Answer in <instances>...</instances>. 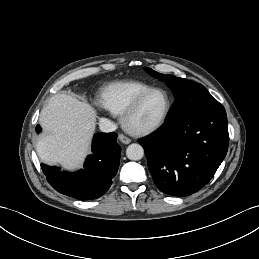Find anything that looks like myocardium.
<instances>
[{
	"label": "myocardium",
	"mask_w": 259,
	"mask_h": 259,
	"mask_svg": "<svg viewBox=\"0 0 259 259\" xmlns=\"http://www.w3.org/2000/svg\"><path fill=\"white\" fill-rule=\"evenodd\" d=\"M160 92L163 93L167 100L166 109L164 111V114L162 117L154 124L146 126V127H135L131 124V118L134 116V114L138 111L142 103L153 93ZM172 107V101L168 94V92L161 88H151L147 92L140 95L138 98H136L132 104L125 110V112L122 114L121 117V123L125 130L129 132L132 135L135 136H146L149 135L158 129H160L168 119V116L170 114Z\"/></svg>",
	"instance_id": "f54148a6"
}]
</instances>
